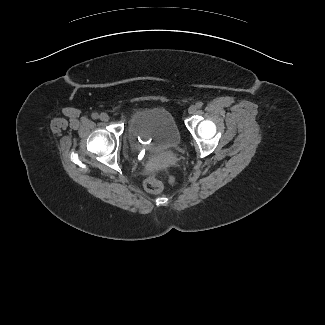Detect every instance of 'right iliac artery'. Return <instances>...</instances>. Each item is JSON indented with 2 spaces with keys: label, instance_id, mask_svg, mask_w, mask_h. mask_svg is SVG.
<instances>
[{
  "label": "right iliac artery",
  "instance_id": "obj_1",
  "mask_svg": "<svg viewBox=\"0 0 325 325\" xmlns=\"http://www.w3.org/2000/svg\"><path fill=\"white\" fill-rule=\"evenodd\" d=\"M98 117H99L98 113H93V114H92V118H93V119H97Z\"/></svg>",
  "mask_w": 325,
  "mask_h": 325
}]
</instances>
